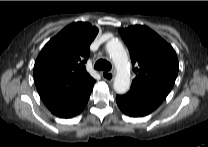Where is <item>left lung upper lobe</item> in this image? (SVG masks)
<instances>
[{
	"instance_id": "5c2ea615",
	"label": "left lung upper lobe",
	"mask_w": 208,
	"mask_h": 147,
	"mask_svg": "<svg viewBox=\"0 0 208 147\" xmlns=\"http://www.w3.org/2000/svg\"><path fill=\"white\" fill-rule=\"evenodd\" d=\"M119 33L131 53L132 65H135L136 77L131 86L165 99L179 70L172 46L146 26H131L120 29Z\"/></svg>"
}]
</instances>
